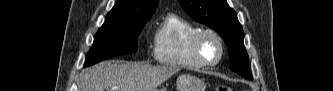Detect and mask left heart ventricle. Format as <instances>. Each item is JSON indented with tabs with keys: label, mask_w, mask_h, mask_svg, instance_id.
I'll return each instance as SVG.
<instances>
[{
	"label": "left heart ventricle",
	"mask_w": 333,
	"mask_h": 91,
	"mask_svg": "<svg viewBox=\"0 0 333 91\" xmlns=\"http://www.w3.org/2000/svg\"><path fill=\"white\" fill-rule=\"evenodd\" d=\"M202 54L208 61H214L219 54V46L213 37L207 36L202 41Z\"/></svg>",
	"instance_id": "left-heart-ventricle-1"
}]
</instances>
